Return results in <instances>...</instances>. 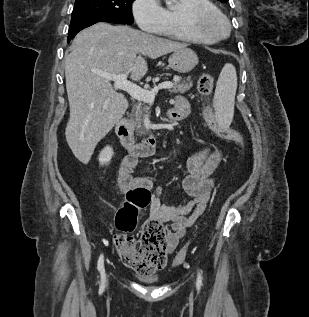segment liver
<instances>
[{
    "label": "liver",
    "mask_w": 309,
    "mask_h": 317,
    "mask_svg": "<svg viewBox=\"0 0 309 317\" xmlns=\"http://www.w3.org/2000/svg\"><path fill=\"white\" fill-rule=\"evenodd\" d=\"M187 44L163 39L128 26L99 22L73 40L65 58L66 89L70 118L66 140L74 156L87 164L98 142L124 115L127 99L110 80L95 71L130 74L140 81L148 71L144 57L156 59Z\"/></svg>",
    "instance_id": "obj_1"
}]
</instances>
